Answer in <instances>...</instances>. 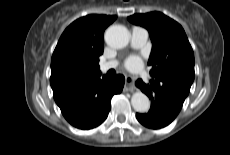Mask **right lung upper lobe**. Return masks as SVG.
Here are the masks:
<instances>
[{"instance_id":"1","label":"right lung upper lobe","mask_w":230,"mask_h":155,"mask_svg":"<svg viewBox=\"0 0 230 155\" xmlns=\"http://www.w3.org/2000/svg\"><path fill=\"white\" fill-rule=\"evenodd\" d=\"M116 18L87 15L65 29L51 59L52 88L100 73L98 57L103 53V33Z\"/></svg>"}]
</instances>
